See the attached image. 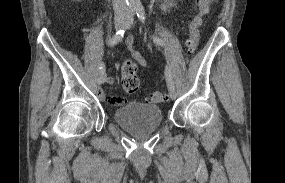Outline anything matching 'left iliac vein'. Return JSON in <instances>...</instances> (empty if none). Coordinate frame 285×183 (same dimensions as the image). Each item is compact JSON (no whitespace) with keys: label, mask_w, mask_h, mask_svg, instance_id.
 I'll use <instances>...</instances> for the list:
<instances>
[{"label":"left iliac vein","mask_w":285,"mask_h":183,"mask_svg":"<svg viewBox=\"0 0 285 183\" xmlns=\"http://www.w3.org/2000/svg\"><path fill=\"white\" fill-rule=\"evenodd\" d=\"M130 20H131V16L127 18V23H126V27L129 28L130 27ZM168 90H169V94H170V97L171 99H175L176 96H177V93H176V89L174 86H171V85H168Z\"/></svg>","instance_id":"1"}]
</instances>
